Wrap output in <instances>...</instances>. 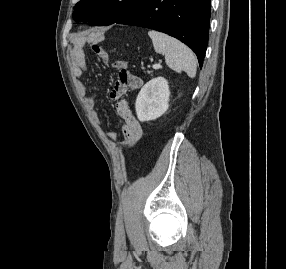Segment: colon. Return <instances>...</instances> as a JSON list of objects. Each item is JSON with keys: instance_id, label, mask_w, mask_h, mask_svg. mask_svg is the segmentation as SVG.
<instances>
[{"instance_id": "5ec220e1", "label": "colon", "mask_w": 286, "mask_h": 269, "mask_svg": "<svg viewBox=\"0 0 286 269\" xmlns=\"http://www.w3.org/2000/svg\"><path fill=\"white\" fill-rule=\"evenodd\" d=\"M92 48L97 52L102 51L98 44H93ZM128 66H131V61L119 60L115 65V70H118V82L115 86L119 88V91H135V88H141L142 86L143 79L132 75L128 70Z\"/></svg>"}]
</instances>
